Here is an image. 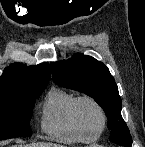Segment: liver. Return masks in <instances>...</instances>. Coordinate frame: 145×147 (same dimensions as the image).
Returning a JSON list of instances; mask_svg holds the SVG:
<instances>
[{
    "instance_id": "liver-1",
    "label": "liver",
    "mask_w": 145,
    "mask_h": 147,
    "mask_svg": "<svg viewBox=\"0 0 145 147\" xmlns=\"http://www.w3.org/2000/svg\"><path fill=\"white\" fill-rule=\"evenodd\" d=\"M15 147H62L61 145L54 144V143H47V142H38V143H32L24 146H15Z\"/></svg>"
}]
</instances>
